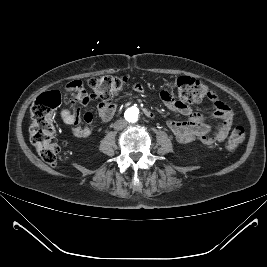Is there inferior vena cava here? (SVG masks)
I'll use <instances>...</instances> for the list:
<instances>
[{
    "mask_svg": "<svg viewBox=\"0 0 267 267\" xmlns=\"http://www.w3.org/2000/svg\"><path fill=\"white\" fill-rule=\"evenodd\" d=\"M127 126V122L124 119H119L114 123V129L116 130H122Z\"/></svg>",
    "mask_w": 267,
    "mask_h": 267,
    "instance_id": "obj_1",
    "label": "inferior vena cava"
}]
</instances>
